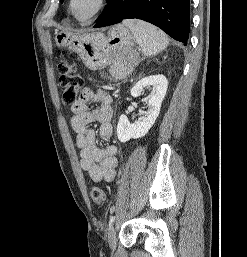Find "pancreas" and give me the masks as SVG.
Here are the masks:
<instances>
[{
  "label": "pancreas",
  "instance_id": "cf45deb5",
  "mask_svg": "<svg viewBox=\"0 0 247 257\" xmlns=\"http://www.w3.org/2000/svg\"><path fill=\"white\" fill-rule=\"evenodd\" d=\"M110 72L113 76H122L128 72V69L117 63L111 66Z\"/></svg>",
  "mask_w": 247,
  "mask_h": 257
}]
</instances>
